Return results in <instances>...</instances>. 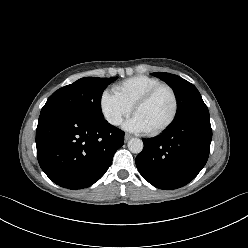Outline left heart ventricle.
<instances>
[{
	"instance_id": "1",
	"label": "left heart ventricle",
	"mask_w": 248,
	"mask_h": 248,
	"mask_svg": "<svg viewBox=\"0 0 248 248\" xmlns=\"http://www.w3.org/2000/svg\"><path fill=\"white\" fill-rule=\"evenodd\" d=\"M173 100L170 92L160 90L148 103L138 108L135 115L140 118L148 131L162 125L170 116Z\"/></svg>"
}]
</instances>
